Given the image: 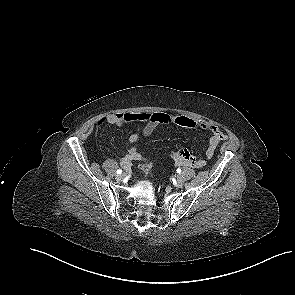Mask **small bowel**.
Here are the masks:
<instances>
[{"label":"small bowel","mask_w":295,"mask_h":295,"mask_svg":"<svg viewBox=\"0 0 295 295\" xmlns=\"http://www.w3.org/2000/svg\"><path fill=\"white\" fill-rule=\"evenodd\" d=\"M129 122L144 123L141 132H135L129 136V144L136 143L141 137H148L159 125H175L178 127L189 129L209 130L211 132V136L209 138L208 146L205 152V158L197 159L192 156L186 149H180L175 155L176 163L178 165L193 168L204 167L207 161L213 157L220 142L228 138L227 134L221 131L216 126L203 124L194 121L186 116L172 115L164 112L110 114L99 120L97 123V127H100L101 125H122ZM139 160H142L141 154L136 150V148L132 147L129 149L128 153L121 158L120 164L123 168L128 169L130 168L132 162Z\"/></svg>","instance_id":"c3829d8e"}]
</instances>
